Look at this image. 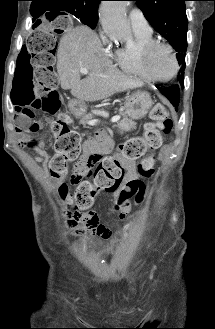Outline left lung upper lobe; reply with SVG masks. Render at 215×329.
<instances>
[{
	"instance_id": "1",
	"label": "left lung upper lobe",
	"mask_w": 215,
	"mask_h": 329,
	"mask_svg": "<svg viewBox=\"0 0 215 329\" xmlns=\"http://www.w3.org/2000/svg\"><path fill=\"white\" fill-rule=\"evenodd\" d=\"M142 10L152 27L176 50L181 65L178 83H184L187 25L185 1L187 0H133Z\"/></svg>"
}]
</instances>
